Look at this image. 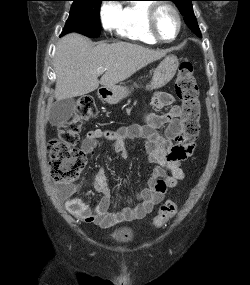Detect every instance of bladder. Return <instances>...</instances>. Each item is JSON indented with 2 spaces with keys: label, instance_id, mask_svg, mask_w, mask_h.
I'll use <instances>...</instances> for the list:
<instances>
[{
  "label": "bladder",
  "instance_id": "obj_1",
  "mask_svg": "<svg viewBox=\"0 0 250 285\" xmlns=\"http://www.w3.org/2000/svg\"><path fill=\"white\" fill-rule=\"evenodd\" d=\"M110 237L117 243H126L132 239L133 230L127 226L118 227L110 233Z\"/></svg>",
  "mask_w": 250,
  "mask_h": 285
}]
</instances>
